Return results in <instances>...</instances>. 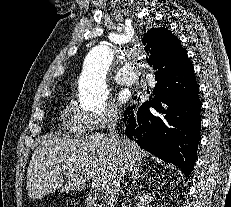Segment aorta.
Listing matches in <instances>:
<instances>
[{"label":"aorta","mask_w":231,"mask_h":207,"mask_svg":"<svg viewBox=\"0 0 231 207\" xmlns=\"http://www.w3.org/2000/svg\"><path fill=\"white\" fill-rule=\"evenodd\" d=\"M113 61V52L108 44L93 47L85 57L79 77V100L81 107L89 111H102L108 99L106 75Z\"/></svg>","instance_id":"aorta-1"}]
</instances>
